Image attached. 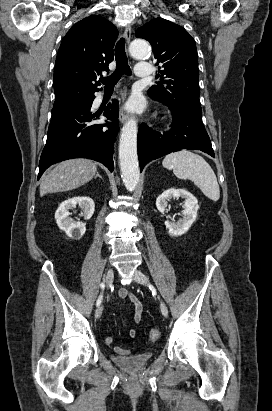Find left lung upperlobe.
I'll return each mask as SVG.
<instances>
[{"mask_svg": "<svg viewBox=\"0 0 272 411\" xmlns=\"http://www.w3.org/2000/svg\"><path fill=\"white\" fill-rule=\"evenodd\" d=\"M136 37L153 48L160 81L148 95L177 114L202 117L196 44L187 31L168 20L155 18L137 29Z\"/></svg>", "mask_w": 272, "mask_h": 411, "instance_id": "obj_1", "label": "left lung upper lobe"}]
</instances>
